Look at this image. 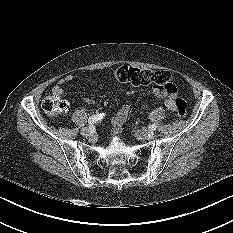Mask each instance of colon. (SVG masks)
Returning <instances> with one entry per match:
<instances>
[{
  "label": "colon",
  "mask_w": 233,
  "mask_h": 233,
  "mask_svg": "<svg viewBox=\"0 0 233 233\" xmlns=\"http://www.w3.org/2000/svg\"><path fill=\"white\" fill-rule=\"evenodd\" d=\"M113 75L118 81L133 86H152L169 93L176 92V87L170 82V75L166 71L144 70L123 65L116 68ZM174 104L175 113L180 117L185 116L186 102L181 98H175ZM68 105V102L58 95L48 96L42 102L44 112L51 118H56L66 112Z\"/></svg>",
  "instance_id": "1"
}]
</instances>
